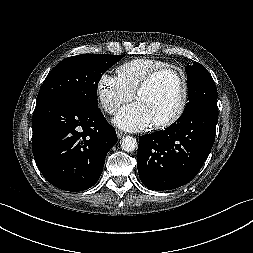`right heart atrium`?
<instances>
[{
    "label": "right heart atrium",
    "mask_w": 253,
    "mask_h": 253,
    "mask_svg": "<svg viewBox=\"0 0 253 253\" xmlns=\"http://www.w3.org/2000/svg\"><path fill=\"white\" fill-rule=\"evenodd\" d=\"M100 104L105 112L115 113L121 105L129 102L133 94L126 89L116 76L103 74L97 84Z\"/></svg>",
    "instance_id": "right-heart-atrium-1"
}]
</instances>
